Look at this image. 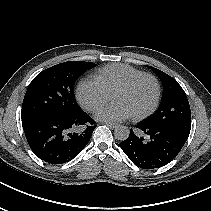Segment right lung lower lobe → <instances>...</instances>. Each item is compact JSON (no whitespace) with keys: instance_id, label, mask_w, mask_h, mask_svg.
Instances as JSON below:
<instances>
[{"instance_id":"obj_1","label":"right lung lower lobe","mask_w":211,"mask_h":211,"mask_svg":"<svg viewBox=\"0 0 211 211\" xmlns=\"http://www.w3.org/2000/svg\"><path fill=\"white\" fill-rule=\"evenodd\" d=\"M23 130L34 154L49 164H63L75 158L89 142L96 125L82 111L70 116H45L22 120ZM85 127L81 133L73 129Z\"/></svg>"}]
</instances>
